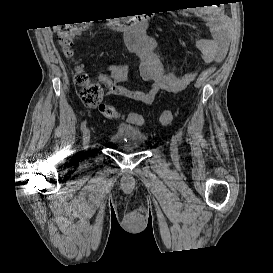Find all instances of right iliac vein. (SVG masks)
<instances>
[{
  "label": "right iliac vein",
  "instance_id": "63e3f726",
  "mask_svg": "<svg viewBox=\"0 0 273 273\" xmlns=\"http://www.w3.org/2000/svg\"><path fill=\"white\" fill-rule=\"evenodd\" d=\"M90 142V130L86 128L83 132V145L87 147Z\"/></svg>",
  "mask_w": 273,
  "mask_h": 273
}]
</instances>
